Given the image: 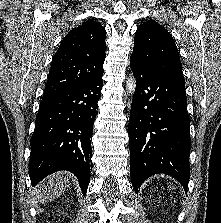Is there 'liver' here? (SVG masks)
<instances>
[{
  "label": "liver",
  "mask_w": 221,
  "mask_h": 223,
  "mask_svg": "<svg viewBox=\"0 0 221 223\" xmlns=\"http://www.w3.org/2000/svg\"><path fill=\"white\" fill-rule=\"evenodd\" d=\"M69 186L70 174L67 172H57L38 184L33 190V195L37 202L44 204L65 192Z\"/></svg>",
  "instance_id": "6515ba94"
}]
</instances>
